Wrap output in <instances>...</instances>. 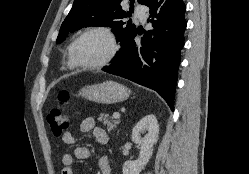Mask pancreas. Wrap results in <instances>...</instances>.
Masks as SVG:
<instances>
[{"label": "pancreas", "instance_id": "cf45deb5", "mask_svg": "<svg viewBox=\"0 0 249 174\" xmlns=\"http://www.w3.org/2000/svg\"><path fill=\"white\" fill-rule=\"evenodd\" d=\"M99 122H103L104 126L107 127V130L110 132L117 127L119 121L111 119L108 114H100L98 117Z\"/></svg>", "mask_w": 249, "mask_h": 174}]
</instances>
